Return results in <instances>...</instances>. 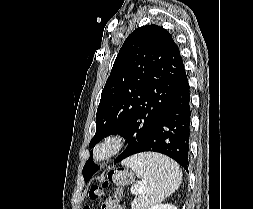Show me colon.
Segmentation results:
<instances>
[{"label": "colon", "instance_id": "obj_1", "mask_svg": "<svg viewBox=\"0 0 253 209\" xmlns=\"http://www.w3.org/2000/svg\"><path fill=\"white\" fill-rule=\"evenodd\" d=\"M133 179V175L128 170H117L108 174V180L102 186H92L89 190V196L92 200H98L102 195V187L107 183H114L118 186V190L113 197L103 202L100 209H118L117 200L120 196V189L128 185ZM83 209H92L90 206H85Z\"/></svg>", "mask_w": 253, "mask_h": 209}]
</instances>
